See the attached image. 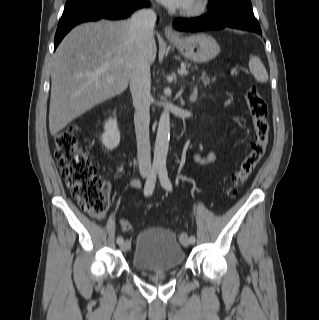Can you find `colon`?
<instances>
[{"instance_id":"1","label":"colon","mask_w":319,"mask_h":320,"mask_svg":"<svg viewBox=\"0 0 319 320\" xmlns=\"http://www.w3.org/2000/svg\"><path fill=\"white\" fill-rule=\"evenodd\" d=\"M253 126L250 149L233 173L225 195L228 199L237 196L238 188L252 174L265 155L269 143L268 107L260 91L252 86L245 93ZM76 126L70 125L55 136L58 168L72 196L83 210L96 218H103L108 210V186L98 174L93 161L80 147L76 137ZM124 231H131L128 221L121 222Z\"/></svg>"}]
</instances>
